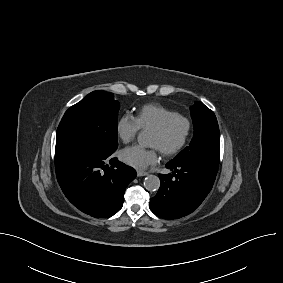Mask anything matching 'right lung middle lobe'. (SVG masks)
Returning <instances> with one entry per match:
<instances>
[{"mask_svg":"<svg viewBox=\"0 0 283 283\" xmlns=\"http://www.w3.org/2000/svg\"><path fill=\"white\" fill-rule=\"evenodd\" d=\"M119 108L113 93L103 90L89 93L65 112L57 129L56 149L84 144L104 152H115Z\"/></svg>","mask_w":283,"mask_h":283,"instance_id":"obj_1","label":"right lung middle lobe"}]
</instances>
